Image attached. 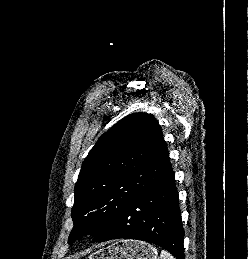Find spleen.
Returning a JSON list of instances; mask_svg holds the SVG:
<instances>
[{"label": "spleen", "instance_id": "obj_1", "mask_svg": "<svg viewBox=\"0 0 248 259\" xmlns=\"http://www.w3.org/2000/svg\"><path fill=\"white\" fill-rule=\"evenodd\" d=\"M160 259H176L166 250L161 251Z\"/></svg>", "mask_w": 248, "mask_h": 259}]
</instances>
